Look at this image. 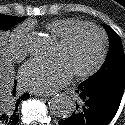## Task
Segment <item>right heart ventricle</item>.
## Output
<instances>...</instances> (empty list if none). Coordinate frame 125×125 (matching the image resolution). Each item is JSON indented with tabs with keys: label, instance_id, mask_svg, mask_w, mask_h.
Instances as JSON below:
<instances>
[{
	"label": "right heart ventricle",
	"instance_id": "obj_1",
	"mask_svg": "<svg viewBox=\"0 0 125 125\" xmlns=\"http://www.w3.org/2000/svg\"><path fill=\"white\" fill-rule=\"evenodd\" d=\"M83 21L75 18H57L44 25L45 30L54 38H61L70 28L82 23Z\"/></svg>",
	"mask_w": 125,
	"mask_h": 125
}]
</instances>
